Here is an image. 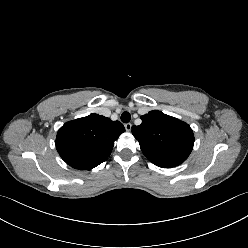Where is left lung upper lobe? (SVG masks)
Wrapping results in <instances>:
<instances>
[{"instance_id": "obj_1", "label": "left lung upper lobe", "mask_w": 248, "mask_h": 248, "mask_svg": "<svg viewBox=\"0 0 248 248\" xmlns=\"http://www.w3.org/2000/svg\"><path fill=\"white\" fill-rule=\"evenodd\" d=\"M141 119L139 126H132V134L152 163L171 168L187 159L194 144L193 131L187 123L157 110Z\"/></svg>"}]
</instances>
